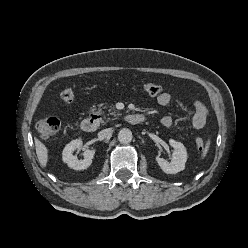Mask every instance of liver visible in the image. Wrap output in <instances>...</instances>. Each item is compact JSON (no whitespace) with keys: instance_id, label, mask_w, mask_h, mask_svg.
Masks as SVG:
<instances>
[{"instance_id":"6515ba94","label":"liver","mask_w":248,"mask_h":248,"mask_svg":"<svg viewBox=\"0 0 248 248\" xmlns=\"http://www.w3.org/2000/svg\"><path fill=\"white\" fill-rule=\"evenodd\" d=\"M34 142H35V149H36L38 161L42 167H46L48 162V149L37 138H34Z\"/></svg>"}]
</instances>
